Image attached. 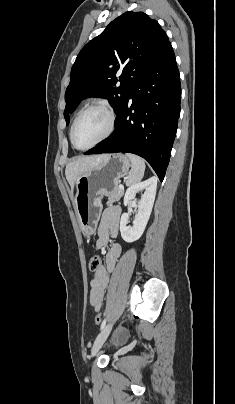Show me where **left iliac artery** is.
Wrapping results in <instances>:
<instances>
[{
    "label": "left iliac artery",
    "mask_w": 235,
    "mask_h": 404,
    "mask_svg": "<svg viewBox=\"0 0 235 404\" xmlns=\"http://www.w3.org/2000/svg\"><path fill=\"white\" fill-rule=\"evenodd\" d=\"M105 325H106V319H104V320H103V322H102V324H101V328H100V329L102 330V329L105 327Z\"/></svg>",
    "instance_id": "44dca946"
}]
</instances>
